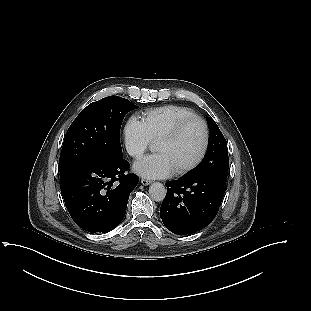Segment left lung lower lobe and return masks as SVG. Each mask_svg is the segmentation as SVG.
Wrapping results in <instances>:
<instances>
[{
    "mask_svg": "<svg viewBox=\"0 0 311 311\" xmlns=\"http://www.w3.org/2000/svg\"><path fill=\"white\" fill-rule=\"evenodd\" d=\"M166 186L160 217L165 227L178 235H189L209 225L226 191L225 182L212 176L183 177Z\"/></svg>",
    "mask_w": 311,
    "mask_h": 311,
    "instance_id": "obj_1",
    "label": "left lung lower lobe"
}]
</instances>
